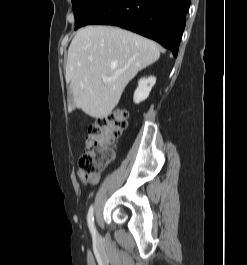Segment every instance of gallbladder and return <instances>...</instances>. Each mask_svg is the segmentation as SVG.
Instances as JSON below:
<instances>
[{
	"instance_id": "1",
	"label": "gallbladder",
	"mask_w": 247,
	"mask_h": 265,
	"mask_svg": "<svg viewBox=\"0 0 247 265\" xmlns=\"http://www.w3.org/2000/svg\"><path fill=\"white\" fill-rule=\"evenodd\" d=\"M69 99H70V102H72V94L71 93L69 94Z\"/></svg>"
}]
</instances>
